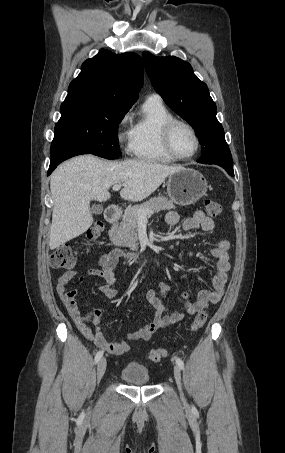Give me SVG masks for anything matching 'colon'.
Masks as SVG:
<instances>
[{
  "label": "colon",
  "instance_id": "1",
  "mask_svg": "<svg viewBox=\"0 0 285 453\" xmlns=\"http://www.w3.org/2000/svg\"><path fill=\"white\" fill-rule=\"evenodd\" d=\"M205 207L209 215L215 217L218 216L221 211V205L212 200L205 201ZM103 231V224L101 222H95L85 233V239L89 242L97 241ZM77 257V251L69 244L60 245L50 256V265L53 268H71L75 265ZM207 320V314L204 311L199 312L192 322V329L198 330L204 326ZM167 356V351L163 348H156L149 352V359L154 363L160 362Z\"/></svg>",
  "mask_w": 285,
  "mask_h": 453
}]
</instances>
